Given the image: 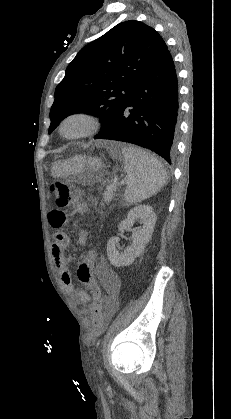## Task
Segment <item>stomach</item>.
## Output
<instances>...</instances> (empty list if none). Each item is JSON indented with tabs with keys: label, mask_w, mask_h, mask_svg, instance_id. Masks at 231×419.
I'll return each instance as SVG.
<instances>
[{
	"label": "stomach",
	"mask_w": 231,
	"mask_h": 419,
	"mask_svg": "<svg viewBox=\"0 0 231 419\" xmlns=\"http://www.w3.org/2000/svg\"><path fill=\"white\" fill-rule=\"evenodd\" d=\"M101 159L77 155L64 161H59L51 167V175L57 178H70L80 183L97 179L96 174L101 169Z\"/></svg>",
	"instance_id": "1"
}]
</instances>
